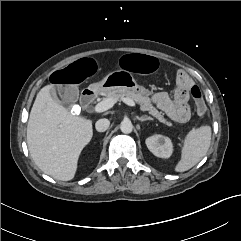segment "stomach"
<instances>
[{
  "instance_id": "0dacf381",
  "label": "stomach",
  "mask_w": 241,
  "mask_h": 241,
  "mask_svg": "<svg viewBox=\"0 0 241 241\" xmlns=\"http://www.w3.org/2000/svg\"><path fill=\"white\" fill-rule=\"evenodd\" d=\"M89 88L94 93H107L119 88H127L142 94H151L150 91L137 84L130 71H122L121 69L110 72L101 81L91 84Z\"/></svg>"
}]
</instances>
